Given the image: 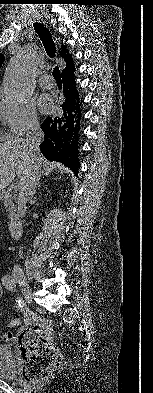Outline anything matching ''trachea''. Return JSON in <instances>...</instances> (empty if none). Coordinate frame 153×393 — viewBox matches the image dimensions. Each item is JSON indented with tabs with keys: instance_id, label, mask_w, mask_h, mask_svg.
Masks as SVG:
<instances>
[{
	"instance_id": "trachea-1",
	"label": "trachea",
	"mask_w": 153,
	"mask_h": 393,
	"mask_svg": "<svg viewBox=\"0 0 153 393\" xmlns=\"http://www.w3.org/2000/svg\"><path fill=\"white\" fill-rule=\"evenodd\" d=\"M34 29L35 32L38 34L40 40L42 41L47 55L53 58L56 53V46L52 38L51 32L46 27H44V25L38 22L34 23ZM52 75L57 84H62L61 73L58 66H55Z\"/></svg>"
}]
</instances>
